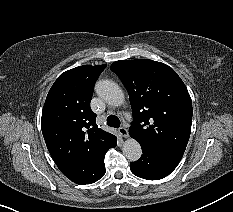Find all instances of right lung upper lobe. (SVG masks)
<instances>
[{
    "mask_svg": "<svg viewBox=\"0 0 233 212\" xmlns=\"http://www.w3.org/2000/svg\"><path fill=\"white\" fill-rule=\"evenodd\" d=\"M105 67L84 65L62 73L42 112L41 129L48 151L60 171L78 184L94 178L114 136L98 128L90 108L94 83Z\"/></svg>",
    "mask_w": 233,
    "mask_h": 212,
    "instance_id": "obj_1",
    "label": "right lung upper lobe"
}]
</instances>
